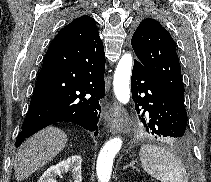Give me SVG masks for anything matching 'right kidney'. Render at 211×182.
Returning a JSON list of instances; mask_svg holds the SVG:
<instances>
[{
  "mask_svg": "<svg viewBox=\"0 0 211 182\" xmlns=\"http://www.w3.org/2000/svg\"><path fill=\"white\" fill-rule=\"evenodd\" d=\"M81 162L82 159L78 155L69 157L58 164L49 167L40 177L38 182H57L55 179L56 176L67 173L68 171L72 173L74 182H82Z\"/></svg>",
  "mask_w": 211,
  "mask_h": 182,
  "instance_id": "ca27d5eb",
  "label": "right kidney"
}]
</instances>
